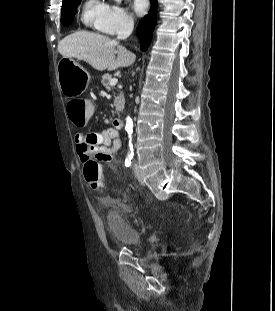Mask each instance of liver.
<instances>
[{
    "label": "liver",
    "mask_w": 275,
    "mask_h": 311,
    "mask_svg": "<svg viewBox=\"0 0 275 311\" xmlns=\"http://www.w3.org/2000/svg\"><path fill=\"white\" fill-rule=\"evenodd\" d=\"M58 51L65 58L83 60L99 71L128 67L136 59L134 53L118 46L115 40L88 31L66 36L59 42Z\"/></svg>",
    "instance_id": "liver-1"
}]
</instances>
